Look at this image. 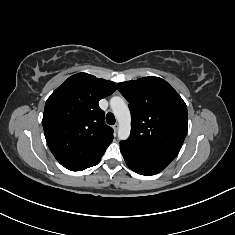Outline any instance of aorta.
Wrapping results in <instances>:
<instances>
[{"label": "aorta", "instance_id": "1", "mask_svg": "<svg viewBox=\"0 0 235 235\" xmlns=\"http://www.w3.org/2000/svg\"><path fill=\"white\" fill-rule=\"evenodd\" d=\"M110 107L115 118L119 123L118 138L126 140L130 135L131 130V115L124 99L119 96H114L110 99Z\"/></svg>", "mask_w": 235, "mask_h": 235}]
</instances>
